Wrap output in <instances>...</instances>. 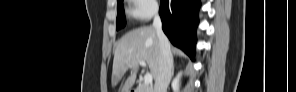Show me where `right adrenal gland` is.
<instances>
[{"instance_id": "2a0ac1e0", "label": "right adrenal gland", "mask_w": 296, "mask_h": 92, "mask_svg": "<svg viewBox=\"0 0 296 92\" xmlns=\"http://www.w3.org/2000/svg\"><path fill=\"white\" fill-rule=\"evenodd\" d=\"M173 75H174V65L172 67L171 78L173 77Z\"/></svg>"}]
</instances>
